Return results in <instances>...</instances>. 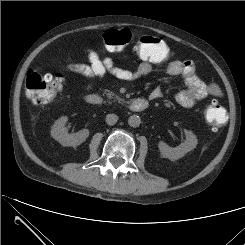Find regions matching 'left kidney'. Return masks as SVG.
<instances>
[{"label": "left kidney", "instance_id": "obj_1", "mask_svg": "<svg viewBox=\"0 0 245 245\" xmlns=\"http://www.w3.org/2000/svg\"><path fill=\"white\" fill-rule=\"evenodd\" d=\"M184 132L186 141L177 147L172 148L162 141L159 142L158 147L163 157L170 160H177L196 148L198 144L197 137L192 131L184 130Z\"/></svg>", "mask_w": 245, "mask_h": 245}]
</instances>
